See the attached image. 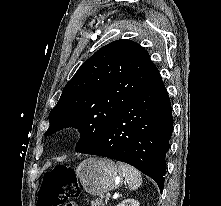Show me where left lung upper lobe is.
I'll list each match as a JSON object with an SVG mask.
<instances>
[{"instance_id":"1","label":"left lung upper lobe","mask_w":221,"mask_h":206,"mask_svg":"<svg viewBox=\"0 0 221 206\" xmlns=\"http://www.w3.org/2000/svg\"><path fill=\"white\" fill-rule=\"evenodd\" d=\"M160 77L148 52L138 43L117 40L85 61L66 84L49 114L46 135L64 127L81 133L75 151L96 141L121 111Z\"/></svg>"}]
</instances>
